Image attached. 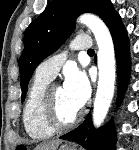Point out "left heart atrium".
I'll list each match as a JSON object with an SVG mask.
<instances>
[{
    "instance_id": "39dd6f15",
    "label": "left heart atrium",
    "mask_w": 139,
    "mask_h": 150,
    "mask_svg": "<svg viewBox=\"0 0 139 150\" xmlns=\"http://www.w3.org/2000/svg\"><path fill=\"white\" fill-rule=\"evenodd\" d=\"M63 89L77 108L84 106L90 96V85L84 72L71 69L66 73Z\"/></svg>"
}]
</instances>
